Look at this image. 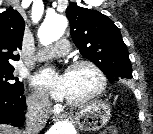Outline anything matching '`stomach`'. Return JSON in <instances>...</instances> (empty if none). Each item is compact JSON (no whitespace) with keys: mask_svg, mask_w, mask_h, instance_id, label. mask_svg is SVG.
<instances>
[{"mask_svg":"<svg viewBox=\"0 0 153 134\" xmlns=\"http://www.w3.org/2000/svg\"><path fill=\"white\" fill-rule=\"evenodd\" d=\"M111 118L110 106L102 101H94L84 106L76 114V123L81 130L98 131Z\"/></svg>","mask_w":153,"mask_h":134,"instance_id":"stomach-1","label":"stomach"}]
</instances>
